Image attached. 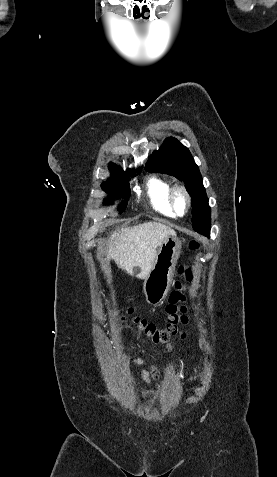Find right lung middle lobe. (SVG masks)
Returning <instances> with one entry per match:
<instances>
[{
  "label": "right lung middle lobe",
  "mask_w": 277,
  "mask_h": 477,
  "mask_svg": "<svg viewBox=\"0 0 277 477\" xmlns=\"http://www.w3.org/2000/svg\"><path fill=\"white\" fill-rule=\"evenodd\" d=\"M140 173L141 170H128L127 172H124L122 170H115L111 171V177L108 179L107 182H104L102 184L103 190L109 193L111 197H114V194L112 192L117 193L118 196L124 197V198H129L130 196V189H129V180L130 177H134L135 173ZM117 187H122V191H117ZM105 203H111L110 200L105 199ZM127 202L123 203L120 206V210L124 211L126 208Z\"/></svg>",
  "instance_id": "1"
}]
</instances>
